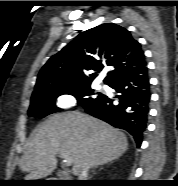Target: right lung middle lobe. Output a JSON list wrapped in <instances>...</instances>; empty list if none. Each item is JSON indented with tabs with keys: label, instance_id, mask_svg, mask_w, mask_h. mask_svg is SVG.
<instances>
[{
	"label": "right lung middle lobe",
	"instance_id": "dd1d6c3e",
	"mask_svg": "<svg viewBox=\"0 0 178 186\" xmlns=\"http://www.w3.org/2000/svg\"><path fill=\"white\" fill-rule=\"evenodd\" d=\"M90 85L91 84L72 88L46 89L39 91L32 95L28 115L43 118L49 114L60 111L61 109L57 108L55 105V100L62 94L73 95L77 98L78 104L86 106L102 95V93H97L98 96L94 97L96 93H94Z\"/></svg>",
	"mask_w": 178,
	"mask_h": 186
}]
</instances>
